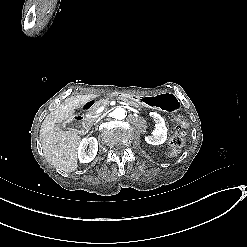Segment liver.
Instances as JSON below:
<instances>
[{
  "instance_id": "obj_1",
  "label": "liver",
  "mask_w": 247,
  "mask_h": 247,
  "mask_svg": "<svg viewBox=\"0 0 247 247\" xmlns=\"http://www.w3.org/2000/svg\"><path fill=\"white\" fill-rule=\"evenodd\" d=\"M100 94L74 95L66 98L43 120L39 140L46 161L59 174L67 176L78 168V153L82 135L77 129L64 130L63 126L76 119L77 110L83 108Z\"/></svg>"
}]
</instances>
